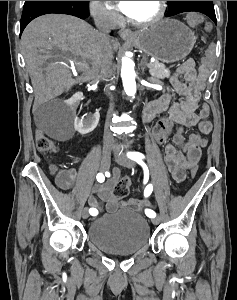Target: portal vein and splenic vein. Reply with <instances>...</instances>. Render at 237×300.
<instances>
[{
    "label": "portal vein and splenic vein",
    "mask_w": 237,
    "mask_h": 300,
    "mask_svg": "<svg viewBox=\"0 0 237 300\" xmlns=\"http://www.w3.org/2000/svg\"><path fill=\"white\" fill-rule=\"evenodd\" d=\"M147 64H148V68H151V69L155 68V65L151 64L150 62H148Z\"/></svg>",
    "instance_id": "obj_1"
}]
</instances>
